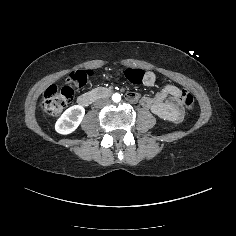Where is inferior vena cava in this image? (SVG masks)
Returning <instances> with one entry per match:
<instances>
[{
	"label": "inferior vena cava",
	"mask_w": 236,
	"mask_h": 236,
	"mask_svg": "<svg viewBox=\"0 0 236 236\" xmlns=\"http://www.w3.org/2000/svg\"><path fill=\"white\" fill-rule=\"evenodd\" d=\"M108 104H109V100H107V99H99L94 102V106L96 108H101V107L108 105Z\"/></svg>",
	"instance_id": "inferior-vena-cava-1"
}]
</instances>
